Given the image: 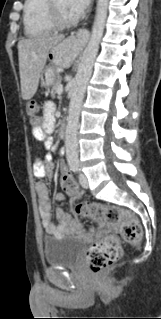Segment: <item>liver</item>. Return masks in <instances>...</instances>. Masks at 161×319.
Masks as SVG:
<instances>
[{
  "instance_id": "obj_1",
  "label": "liver",
  "mask_w": 161,
  "mask_h": 319,
  "mask_svg": "<svg viewBox=\"0 0 161 319\" xmlns=\"http://www.w3.org/2000/svg\"><path fill=\"white\" fill-rule=\"evenodd\" d=\"M63 39V35H45L19 41V73L24 100L31 99L36 93L49 51ZM74 56L75 53L72 59Z\"/></svg>"
}]
</instances>
